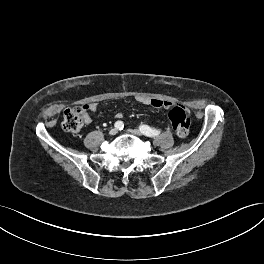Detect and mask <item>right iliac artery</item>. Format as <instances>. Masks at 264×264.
<instances>
[{"instance_id":"obj_1","label":"right iliac artery","mask_w":264,"mask_h":264,"mask_svg":"<svg viewBox=\"0 0 264 264\" xmlns=\"http://www.w3.org/2000/svg\"><path fill=\"white\" fill-rule=\"evenodd\" d=\"M114 126H115L117 129L122 130L123 127H124V124H123L122 121H117V122L114 124Z\"/></svg>"}]
</instances>
